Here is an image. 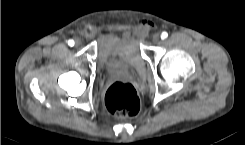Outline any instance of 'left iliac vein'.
Here are the masks:
<instances>
[{"mask_svg":"<svg viewBox=\"0 0 245 145\" xmlns=\"http://www.w3.org/2000/svg\"><path fill=\"white\" fill-rule=\"evenodd\" d=\"M160 40H161V38H160V35L159 34H155L153 36V42L154 43H159Z\"/></svg>","mask_w":245,"mask_h":145,"instance_id":"obj_1","label":"left iliac vein"}]
</instances>
